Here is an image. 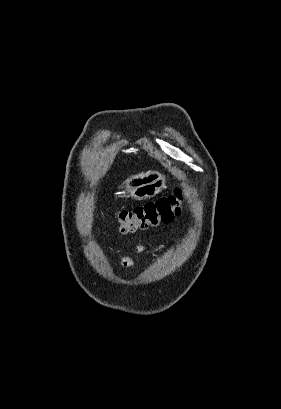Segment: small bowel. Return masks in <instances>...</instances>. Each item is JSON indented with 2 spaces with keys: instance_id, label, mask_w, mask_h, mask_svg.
Listing matches in <instances>:
<instances>
[{
  "instance_id": "small-bowel-1",
  "label": "small bowel",
  "mask_w": 281,
  "mask_h": 409,
  "mask_svg": "<svg viewBox=\"0 0 281 409\" xmlns=\"http://www.w3.org/2000/svg\"><path fill=\"white\" fill-rule=\"evenodd\" d=\"M121 262H122V265L124 266V267H127V268H130V267H133L134 266V262H133V260L131 259V258H129V257H122V260H121Z\"/></svg>"
}]
</instances>
